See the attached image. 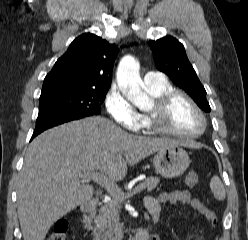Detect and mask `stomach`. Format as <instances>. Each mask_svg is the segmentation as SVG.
Wrapping results in <instances>:
<instances>
[{"label":"stomach","instance_id":"0dacf381","mask_svg":"<svg viewBox=\"0 0 248 240\" xmlns=\"http://www.w3.org/2000/svg\"><path fill=\"white\" fill-rule=\"evenodd\" d=\"M156 172L165 178L182 175L190 164L188 153L178 145L157 151L153 158Z\"/></svg>","mask_w":248,"mask_h":240}]
</instances>
